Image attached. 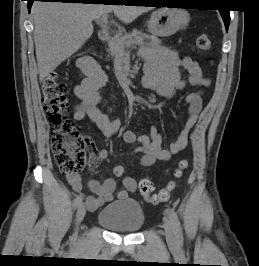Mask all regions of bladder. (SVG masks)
Listing matches in <instances>:
<instances>
[{"label": "bladder", "mask_w": 259, "mask_h": 266, "mask_svg": "<svg viewBox=\"0 0 259 266\" xmlns=\"http://www.w3.org/2000/svg\"><path fill=\"white\" fill-rule=\"evenodd\" d=\"M97 219L103 227L111 231L132 234L142 228L145 215L137 201L124 200L105 206L99 212Z\"/></svg>", "instance_id": "1"}]
</instances>
